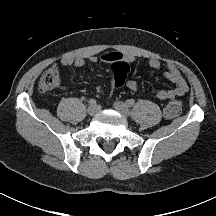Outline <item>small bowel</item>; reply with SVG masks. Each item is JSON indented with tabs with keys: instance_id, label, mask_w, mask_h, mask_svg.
I'll return each mask as SVG.
<instances>
[{
	"instance_id": "c3829d8e",
	"label": "small bowel",
	"mask_w": 216,
	"mask_h": 216,
	"mask_svg": "<svg viewBox=\"0 0 216 216\" xmlns=\"http://www.w3.org/2000/svg\"><path fill=\"white\" fill-rule=\"evenodd\" d=\"M93 63H106V64H121V63H133L136 61V56L133 54L123 53L120 51H110L101 56H94L90 58ZM86 60L83 58H70L66 57L61 60V64L67 67L80 68L84 66ZM149 65L156 69L161 70L163 75L174 84L172 89L158 90L155 92V97L159 100H167L174 97H180L188 92V85L181 75L180 71L172 64H162L156 58L149 59ZM57 69L55 66L51 67ZM128 89L136 91L138 89V81L136 79H130L127 82ZM64 89V88H63Z\"/></svg>"
}]
</instances>
